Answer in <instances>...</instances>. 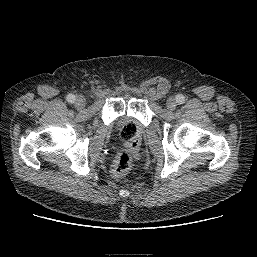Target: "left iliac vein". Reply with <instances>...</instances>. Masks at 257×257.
<instances>
[{
	"instance_id": "4c4485c4",
	"label": "left iliac vein",
	"mask_w": 257,
	"mask_h": 257,
	"mask_svg": "<svg viewBox=\"0 0 257 257\" xmlns=\"http://www.w3.org/2000/svg\"><path fill=\"white\" fill-rule=\"evenodd\" d=\"M177 106V102L174 98H169L167 101H166V107L167 109L169 110H174Z\"/></svg>"
}]
</instances>
